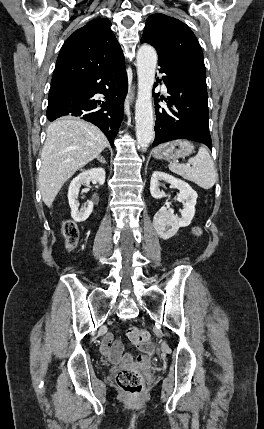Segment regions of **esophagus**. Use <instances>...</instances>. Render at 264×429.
Listing matches in <instances>:
<instances>
[{"label": "esophagus", "mask_w": 264, "mask_h": 429, "mask_svg": "<svg viewBox=\"0 0 264 429\" xmlns=\"http://www.w3.org/2000/svg\"><path fill=\"white\" fill-rule=\"evenodd\" d=\"M133 100H134V89L132 90V92H131V94L129 96V102H130V104L133 102Z\"/></svg>", "instance_id": "34e87169"}]
</instances>
